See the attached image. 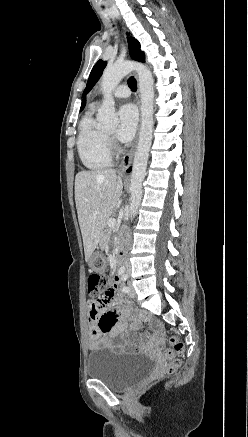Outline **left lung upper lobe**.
I'll use <instances>...</instances> for the list:
<instances>
[{
    "label": "left lung upper lobe",
    "mask_w": 248,
    "mask_h": 437,
    "mask_svg": "<svg viewBox=\"0 0 248 437\" xmlns=\"http://www.w3.org/2000/svg\"><path fill=\"white\" fill-rule=\"evenodd\" d=\"M128 45H129V51H130V55L134 60L140 61V62H144L145 61V55L144 52H142L140 50V44L139 42L133 38V37H128ZM106 62L99 60L93 67L88 82H87V86L83 92V96H85L91 89L92 87L95 85V83L98 81V79L100 78V76L102 75V72L106 66Z\"/></svg>",
    "instance_id": "5c2ea615"
}]
</instances>
